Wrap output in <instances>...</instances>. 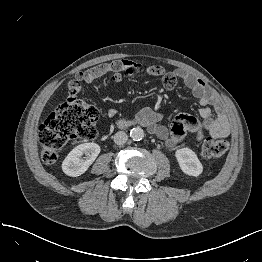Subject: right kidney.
<instances>
[{
	"label": "right kidney",
	"mask_w": 262,
	"mask_h": 262,
	"mask_svg": "<svg viewBox=\"0 0 262 262\" xmlns=\"http://www.w3.org/2000/svg\"><path fill=\"white\" fill-rule=\"evenodd\" d=\"M99 153L100 146L96 143L80 144L66 156L62 162V170L68 176H80L87 171Z\"/></svg>",
	"instance_id": "ca27d5eb"
}]
</instances>
